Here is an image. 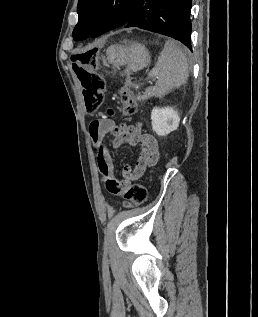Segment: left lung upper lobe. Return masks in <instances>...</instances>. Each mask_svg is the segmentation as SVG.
I'll return each mask as SVG.
<instances>
[{
    "label": "left lung upper lobe",
    "mask_w": 258,
    "mask_h": 317,
    "mask_svg": "<svg viewBox=\"0 0 258 317\" xmlns=\"http://www.w3.org/2000/svg\"><path fill=\"white\" fill-rule=\"evenodd\" d=\"M136 0H79L78 24L73 30L74 40H82L98 28L114 29L125 24Z\"/></svg>",
    "instance_id": "5c2ea615"
}]
</instances>
